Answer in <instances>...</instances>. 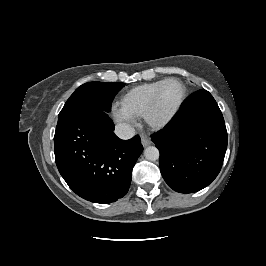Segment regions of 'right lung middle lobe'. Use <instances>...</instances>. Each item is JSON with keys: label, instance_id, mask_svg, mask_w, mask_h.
<instances>
[{"label": "right lung middle lobe", "instance_id": "obj_1", "mask_svg": "<svg viewBox=\"0 0 266 266\" xmlns=\"http://www.w3.org/2000/svg\"><path fill=\"white\" fill-rule=\"evenodd\" d=\"M124 86L122 82H89L81 85L69 97L59 113L56 129L86 107H96L109 112L113 98Z\"/></svg>", "mask_w": 266, "mask_h": 266}]
</instances>
